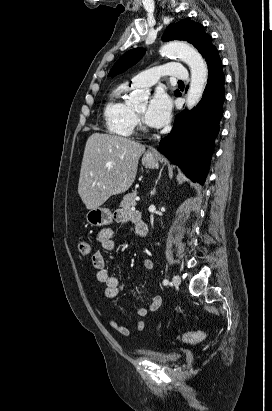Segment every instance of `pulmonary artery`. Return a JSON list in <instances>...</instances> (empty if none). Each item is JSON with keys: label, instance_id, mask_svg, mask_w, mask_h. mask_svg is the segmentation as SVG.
<instances>
[{"label": "pulmonary artery", "instance_id": "pulmonary-artery-1", "mask_svg": "<svg viewBox=\"0 0 272 411\" xmlns=\"http://www.w3.org/2000/svg\"><path fill=\"white\" fill-rule=\"evenodd\" d=\"M161 77H171L179 80H188V71L180 63H169L163 66L148 69L130 81L135 88L150 87L156 84Z\"/></svg>", "mask_w": 272, "mask_h": 411}]
</instances>
